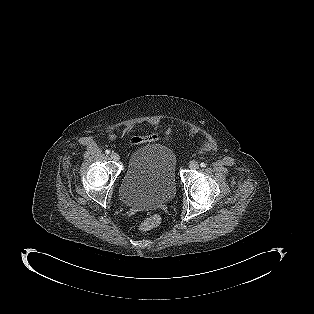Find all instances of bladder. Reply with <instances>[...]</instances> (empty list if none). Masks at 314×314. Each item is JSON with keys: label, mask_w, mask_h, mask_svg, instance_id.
I'll use <instances>...</instances> for the list:
<instances>
[{"label": "bladder", "mask_w": 314, "mask_h": 314, "mask_svg": "<svg viewBox=\"0 0 314 314\" xmlns=\"http://www.w3.org/2000/svg\"><path fill=\"white\" fill-rule=\"evenodd\" d=\"M176 193V158L171 149L142 146L130 156L120 185L122 202L132 208H158Z\"/></svg>", "instance_id": "bladder-1"}]
</instances>
